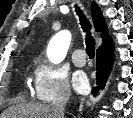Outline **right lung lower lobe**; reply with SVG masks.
Returning a JSON list of instances; mask_svg holds the SVG:
<instances>
[{
	"label": "right lung lower lobe",
	"mask_w": 133,
	"mask_h": 118,
	"mask_svg": "<svg viewBox=\"0 0 133 118\" xmlns=\"http://www.w3.org/2000/svg\"><path fill=\"white\" fill-rule=\"evenodd\" d=\"M113 48V42L111 40L97 49V83L96 87L92 90L94 96L98 94V91L104 89L108 76L112 70L114 61Z\"/></svg>",
	"instance_id": "obj_1"
}]
</instances>
